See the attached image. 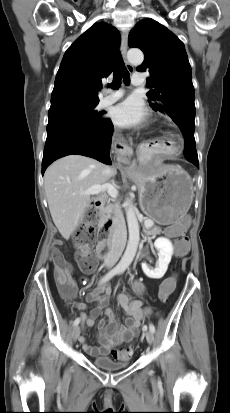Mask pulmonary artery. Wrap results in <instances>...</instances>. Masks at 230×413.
<instances>
[{"label":"pulmonary artery","mask_w":230,"mask_h":413,"mask_svg":"<svg viewBox=\"0 0 230 413\" xmlns=\"http://www.w3.org/2000/svg\"><path fill=\"white\" fill-rule=\"evenodd\" d=\"M131 82L133 85H142L144 84L145 79L141 73H135L132 75ZM104 92H105V95L99 101V105L101 107H105L110 104H113L118 99H120L123 95L122 90H112V89L106 88Z\"/></svg>","instance_id":"1"}]
</instances>
